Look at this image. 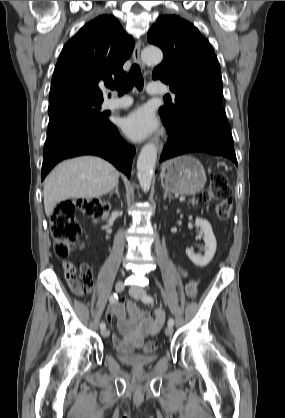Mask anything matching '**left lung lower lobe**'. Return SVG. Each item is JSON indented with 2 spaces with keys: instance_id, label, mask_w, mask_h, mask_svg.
<instances>
[{
  "instance_id": "obj_1",
  "label": "left lung lower lobe",
  "mask_w": 285,
  "mask_h": 418,
  "mask_svg": "<svg viewBox=\"0 0 285 418\" xmlns=\"http://www.w3.org/2000/svg\"><path fill=\"white\" fill-rule=\"evenodd\" d=\"M167 132L169 138L160 162L189 152H206L227 157L237 164L227 121L201 116L189 121L180 130Z\"/></svg>"
}]
</instances>
